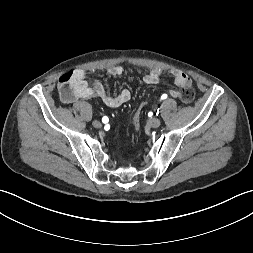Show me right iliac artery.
Returning a JSON list of instances; mask_svg holds the SVG:
<instances>
[{
	"label": "right iliac artery",
	"instance_id": "1",
	"mask_svg": "<svg viewBox=\"0 0 253 253\" xmlns=\"http://www.w3.org/2000/svg\"><path fill=\"white\" fill-rule=\"evenodd\" d=\"M102 121H103L104 123H106V122L108 121V118H107V117H103V118H102Z\"/></svg>",
	"mask_w": 253,
	"mask_h": 253
}]
</instances>
